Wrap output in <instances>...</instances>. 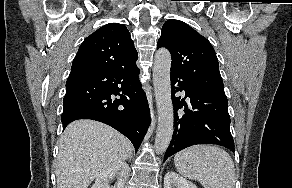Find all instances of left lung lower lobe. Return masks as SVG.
I'll list each match as a JSON object with an SVG mask.
<instances>
[{"label":"left lung lower lobe","instance_id":"1","mask_svg":"<svg viewBox=\"0 0 292 188\" xmlns=\"http://www.w3.org/2000/svg\"><path fill=\"white\" fill-rule=\"evenodd\" d=\"M170 78L175 130L164 161L178 151L196 144H218L234 151L225 93L202 87L176 74L171 73ZM179 90H185L188 102L185 99L180 101V97L174 96ZM183 106L185 108L179 111Z\"/></svg>","mask_w":292,"mask_h":188}]
</instances>
